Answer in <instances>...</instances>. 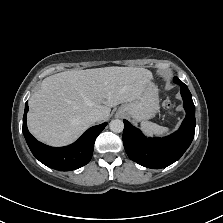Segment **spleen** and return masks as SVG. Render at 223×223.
Here are the masks:
<instances>
[{"label": "spleen", "instance_id": "3e777b00", "mask_svg": "<svg viewBox=\"0 0 223 223\" xmlns=\"http://www.w3.org/2000/svg\"><path fill=\"white\" fill-rule=\"evenodd\" d=\"M141 129L148 136H152L153 134L160 136V135H163L169 131V129L167 127H162L156 123H152L149 121L142 122Z\"/></svg>", "mask_w": 223, "mask_h": 223}]
</instances>
